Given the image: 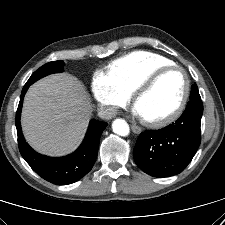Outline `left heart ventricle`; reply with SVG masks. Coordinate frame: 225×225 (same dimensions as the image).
<instances>
[{
  "label": "left heart ventricle",
  "instance_id": "left-heart-ventricle-1",
  "mask_svg": "<svg viewBox=\"0 0 225 225\" xmlns=\"http://www.w3.org/2000/svg\"><path fill=\"white\" fill-rule=\"evenodd\" d=\"M183 90V74L179 70H171L161 76L154 86L139 98L135 108L141 118H161L174 110Z\"/></svg>",
  "mask_w": 225,
  "mask_h": 225
}]
</instances>
